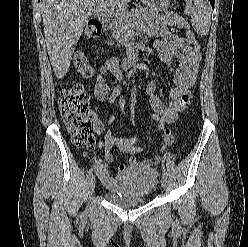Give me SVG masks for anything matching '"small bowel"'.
Masks as SVG:
<instances>
[{"mask_svg": "<svg viewBox=\"0 0 248 247\" xmlns=\"http://www.w3.org/2000/svg\"><path fill=\"white\" fill-rule=\"evenodd\" d=\"M161 38L154 42V48L158 51L162 61L168 64H176L174 74V87L170 90L167 105L157 95V82L152 80L147 84L146 91L149 96L150 108L153 112L152 117L158 121L163 119L165 124L174 122L180 111L185 109L192 98V89L195 85L199 61L201 59V50L195 40H189L179 37L170 28L163 27L160 30ZM119 74L117 69V59L110 58L103 62L94 80V95L98 101L107 102L109 99V87L106 82V74ZM94 131L97 135H103L104 141L99 143V148L104 149V159L97 156L94 166L101 182L110 188H115L116 179L109 168L114 161L112 150L118 148L124 153L131 156L130 164L133 166L151 167L158 164L160 157L154 159H137L134 155L144 152L142 147L135 146L137 137L119 138L111 132H107L105 124L96 116H94ZM113 122L109 119L108 123ZM174 142V135L169 129H165L163 133V151L167 146ZM127 168L121 164L118 169L123 172Z\"/></svg>", "mask_w": 248, "mask_h": 247, "instance_id": "obj_1", "label": "small bowel"}]
</instances>
